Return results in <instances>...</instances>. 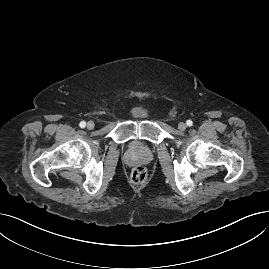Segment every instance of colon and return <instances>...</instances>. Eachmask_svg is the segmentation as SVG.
<instances>
[{
    "label": "colon",
    "instance_id": "1",
    "mask_svg": "<svg viewBox=\"0 0 269 269\" xmlns=\"http://www.w3.org/2000/svg\"><path fill=\"white\" fill-rule=\"evenodd\" d=\"M131 181L135 185H141L146 182L148 178V169L144 165L135 166L130 175Z\"/></svg>",
    "mask_w": 269,
    "mask_h": 269
}]
</instances>
